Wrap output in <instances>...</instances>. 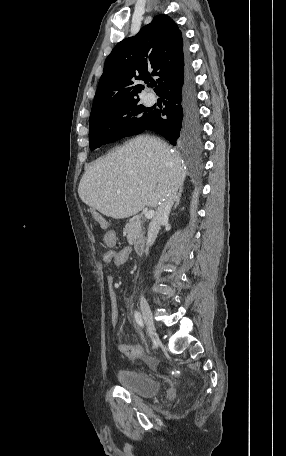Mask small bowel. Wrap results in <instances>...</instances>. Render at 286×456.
<instances>
[{
  "label": "small bowel",
  "mask_w": 286,
  "mask_h": 456,
  "mask_svg": "<svg viewBox=\"0 0 286 456\" xmlns=\"http://www.w3.org/2000/svg\"><path fill=\"white\" fill-rule=\"evenodd\" d=\"M104 241L107 246L114 247L116 244V235L112 231L106 232ZM133 251L131 247H125L120 250L109 249L103 255V261L107 265L121 266L126 263L132 256ZM108 290H109V302L111 311V321L116 327L119 323L120 313L118 307V298L113 285V277L107 276ZM119 351L126 357L135 359L142 353V347L140 345H119Z\"/></svg>",
  "instance_id": "1"
}]
</instances>
